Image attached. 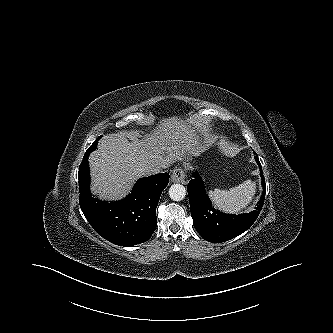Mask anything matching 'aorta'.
I'll return each instance as SVG.
<instances>
[{"label": "aorta", "mask_w": 333, "mask_h": 333, "mask_svg": "<svg viewBox=\"0 0 333 333\" xmlns=\"http://www.w3.org/2000/svg\"><path fill=\"white\" fill-rule=\"evenodd\" d=\"M170 198L174 201H181L186 196V189L181 184H173L169 188Z\"/></svg>", "instance_id": "762f6f07"}]
</instances>
